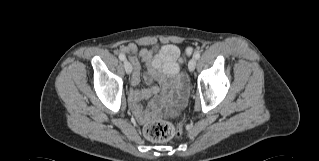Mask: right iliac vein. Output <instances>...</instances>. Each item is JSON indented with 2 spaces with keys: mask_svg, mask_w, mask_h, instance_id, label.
Wrapping results in <instances>:
<instances>
[{
  "mask_svg": "<svg viewBox=\"0 0 319 161\" xmlns=\"http://www.w3.org/2000/svg\"><path fill=\"white\" fill-rule=\"evenodd\" d=\"M124 69L127 74H130L132 72V65L127 60L124 61Z\"/></svg>",
  "mask_w": 319,
  "mask_h": 161,
  "instance_id": "1",
  "label": "right iliac vein"
}]
</instances>
